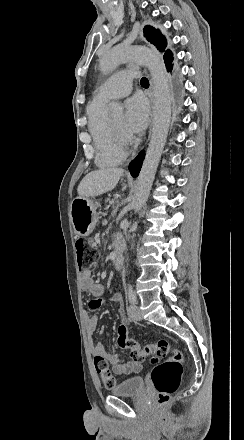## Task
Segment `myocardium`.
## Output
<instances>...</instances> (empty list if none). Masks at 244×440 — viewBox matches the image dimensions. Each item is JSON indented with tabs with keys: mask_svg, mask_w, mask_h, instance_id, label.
<instances>
[{
	"mask_svg": "<svg viewBox=\"0 0 244 440\" xmlns=\"http://www.w3.org/2000/svg\"><path fill=\"white\" fill-rule=\"evenodd\" d=\"M106 125H107V127L111 130V131H113L114 133H116L117 135H122L123 134V132H124V130H123V128H121V129H119V130H114L107 122H106ZM117 143H124L125 142V139L124 138H117L116 140H115Z\"/></svg>",
	"mask_w": 244,
	"mask_h": 440,
	"instance_id": "obj_1",
	"label": "myocardium"
}]
</instances>
